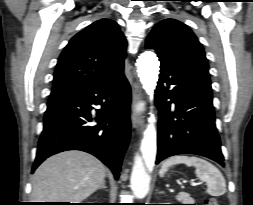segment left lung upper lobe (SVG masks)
Segmentation results:
<instances>
[{
    "label": "left lung upper lobe",
    "mask_w": 253,
    "mask_h": 205,
    "mask_svg": "<svg viewBox=\"0 0 253 205\" xmlns=\"http://www.w3.org/2000/svg\"><path fill=\"white\" fill-rule=\"evenodd\" d=\"M146 48L181 64L211 87L205 52L194 33L182 22L164 19L152 29Z\"/></svg>",
    "instance_id": "1"
}]
</instances>
